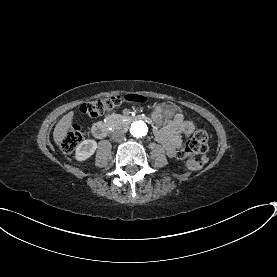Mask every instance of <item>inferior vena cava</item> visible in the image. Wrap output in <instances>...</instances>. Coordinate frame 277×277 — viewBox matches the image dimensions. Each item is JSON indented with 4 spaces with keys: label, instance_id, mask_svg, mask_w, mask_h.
<instances>
[{
    "label": "inferior vena cava",
    "instance_id": "602c4592",
    "mask_svg": "<svg viewBox=\"0 0 277 277\" xmlns=\"http://www.w3.org/2000/svg\"><path fill=\"white\" fill-rule=\"evenodd\" d=\"M112 139L116 142H122L125 140V134L120 131H115L112 133Z\"/></svg>",
    "mask_w": 277,
    "mask_h": 277
}]
</instances>
